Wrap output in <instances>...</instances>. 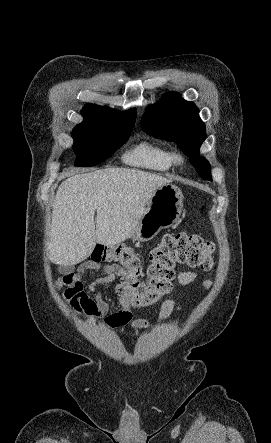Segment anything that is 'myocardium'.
Instances as JSON below:
<instances>
[{
    "label": "myocardium",
    "mask_w": 271,
    "mask_h": 443,
    "mask_svg": "<svg viewBox=\"0 0 271 443\" xmlns=\"http://www.w3.org/2000/svg\"><path fill=\"white\" fill-rule=\"evenodd\" d=\"M173 161L177 166L183 167L187 164V156L183 151L175 150L173 151Z\"/></svg>",
    "instance_id": "obj_1"
}]
</instances>
